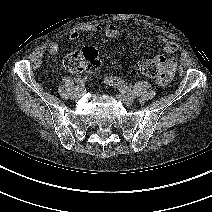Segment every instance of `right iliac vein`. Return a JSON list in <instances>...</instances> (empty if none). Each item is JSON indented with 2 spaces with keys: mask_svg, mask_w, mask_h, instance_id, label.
Masks as SVG:
<instances>
[{
  "mask_svg": "<svg viewBox=\"0 0 212 212\" xmlns=\"http://www.w3.org/2000/svg\"><path fill=\"white\" fill-rule=\"evenodd\" d=\"M81 96H82V91L79 90V91L75 94L74 99L77 100V99H79Z\"/></svg>",
  "mask_w": 212,
  "mask_h": 212,
  "instance_id": "1",
  "label": "right iliac vein"
}]
</instances>
